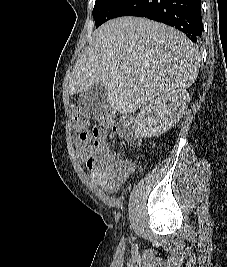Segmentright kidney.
Returning a JSON list of instances; mask_svg holds the SVG:
<instances>
[{"label":"right kidney","mask_w":227,"mask_h":267,"mask_svg":"<svg viewBox=\"0 0 227 267\" xmlns=\"http://www.w3.org/2000/svg\"><path fill=\"white\" fill-rule=\"evenodd\" d=\"M189 102V93L183 89L171 91L153 99L140 110L136 117V135L151 138L165 133L179 122Z\"/></svg>","instance_id":"1"}]
</instances>
